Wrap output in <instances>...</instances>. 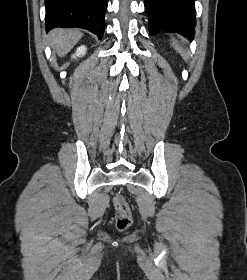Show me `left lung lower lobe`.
<instances>
[{"mask_svg": "<svg viewBox=\"0 0 247 280\" xmlns=\"http://www.w3.org/2000/svg\"><path fill=\"white\" fill-rule=\"evenodd\" d=\"M149 35L179 33L192 40L196 17L194 0H144Z\"/></svg>", "mask_w": 247, "mask_h": 280, "instance_id": "0a47b994", "label": "left lung lower lobe"}]
</instances>
